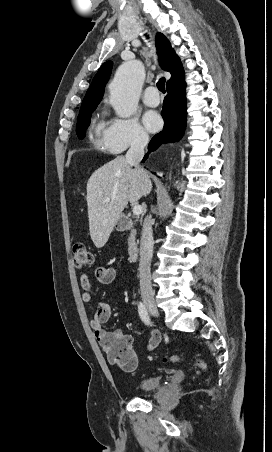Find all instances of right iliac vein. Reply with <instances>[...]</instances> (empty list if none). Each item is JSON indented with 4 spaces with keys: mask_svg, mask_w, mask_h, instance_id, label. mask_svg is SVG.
Here are the masks:
<instances>
[{
    "mask_svg": "<svg viewBox=\"0 0 272 452\" xmlns=\"http://www.w3.org/2000/svg\"><path fill=\"white\" fill-rule=\"evenodd\" d=\"M146 308L151 312L155 317H159V311L156 304L153 301H145Z\"/></svg>",
    "mask_w": 272,
    "mask_h": 452,
    "instance_id": "1",
    "label": "right iliac vein"
}]
</instances>
